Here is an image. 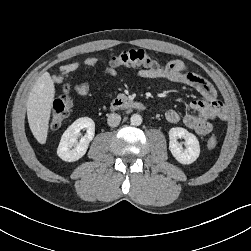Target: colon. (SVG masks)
<instances>
[{"label": "colon", "mask_w": 251, "mask_h": 251, "mask_svg": "<svg viewBox=\"0 0 251 251\" xmlns=\"http://www.w3.org/2000/svg\"><path fill=\"white\" fill-rule=\"evenodd\" d=\"M110 64L113 67L138 66L151 69L160 68V64L157 59L143 49H130L122 51L110 59ZM62 91L63 93L53 102L49 121V127L51 130H57L61 127L73 107L70 87L65 85ZM216 145V137L212 136L209 138L207 142L208 148L213 149Z\"/></svg>", "instance_id": "obj_1"}]
</instances>
